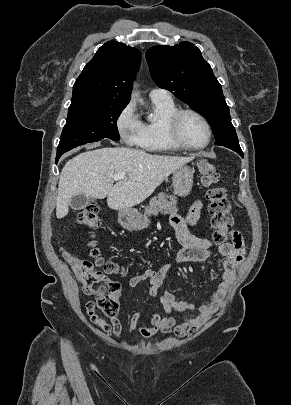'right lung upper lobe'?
I'll return each mask as SVG.
<instances>
[{"instance_id": "obj_1", "label": "right lung upper lobe", "mask_w": 291, "mask_h": 405, "mask_svg": "<svg viewBox=\"0 0 291 405\" xmlns=\"http://www.w3.org/2000/svg\"><path fill=\"white\" fill-rule=\"evenodd\" d=\"M141 52L117 41L101 46L73 86L72 103L128 104Z\"/></svg>"}]
</instances>
